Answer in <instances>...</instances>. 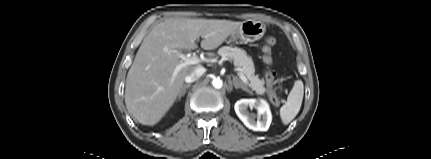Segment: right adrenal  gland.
Here are the masks:
<instances>
[{
    "mask_svg": "<svg viewBox=\"0 0 431 159\" xmlns=\"http://www.w3.org/2000/svg\"><path fill=\"white\" fill-rule=\"evenodd\" d=\"M190 86H191L190 84L183 85V87L181 89V92L179 94L178 100L181 99V97L186 93V89H188Z\"/></svg>",
    "mask_w": 431,
    "mask_h": 159,
    "instance_id": "1",
    "label": "right adrenal gland"
}]
</instances>
